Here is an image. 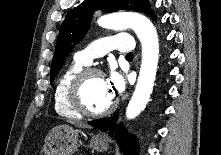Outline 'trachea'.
Instances as JSON below:
<instances>
[{"label":"trachea","instance_id":"obj_1","mask_svg":"<svg viewBox=\"0 0 221 155\" xmlns=\"http://www.w3.org/2000/svg\"><path fill=\"white\" fill-rule=\"evenodd\" d=\"M126 57H127V58H133V53H132V52L128 53V54L126 55Z\"/></svg>","mask_w":221,"mask_h":155}]
</instances>
